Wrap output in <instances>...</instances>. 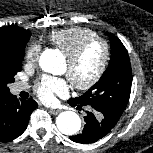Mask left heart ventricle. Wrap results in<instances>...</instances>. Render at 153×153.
Instances as JSON below:
<instances>
[{
  "label": "left heart ventricle",
  "instance_id": "left-heart-ventricle-1",
  "mask_svg": "<svg viewBox=\"0 0 153 153\" xmlns=\"http://www.w3.org/2000/svg\"><path fill=\"white\" fill-rule=\"evenodd\" d=\"M103 46L100 43H95L90 46L79 61L70 66L68 62L65 63V72L77 82L88 81L98 70L103 59Z\"/></svg>",
  "mask_w": 153,
  "mask_h": 153
}]
</instances>
